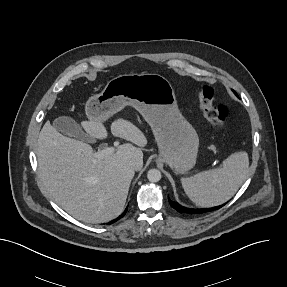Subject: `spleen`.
Listing matches in <instances>:
<instances>
[{
    "label": "spleen",
    "instance_id": "obj_1",
    "mask_svg": "<svg viewBox=\"0 0 287 287\" xmlns=\"http://www.w3.org/2000/svg\"><path fill=\"white\" fill-rule=\"evenodd\" d=\"M249 168L246 152H236L222 166L181 178L182 187L192 202L201 207H213L228 201L243 184Z\"/></svg>",
    "mask_w": 287,
    "mask_h": 287
}]
</instances>
